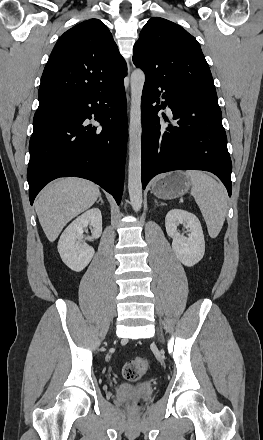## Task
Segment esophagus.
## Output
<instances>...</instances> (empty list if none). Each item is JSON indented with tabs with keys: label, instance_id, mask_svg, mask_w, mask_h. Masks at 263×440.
Instances as JSON below:
<instances>
[{
	"label": "esophagus",
	"instance_id": "34e87169",
	"mask_svg": "<svg viewBox=\"0 0 263 440\" xmlns=\"http://www.w3.org/2000/svg\"><path fill=\"white\" fill-rule=\"evenodd\" d=\"M130 74V65H128V76Z\"/></svg>",
	"mask_w": 263,
	"mask_h": 440
}]
</instances>
